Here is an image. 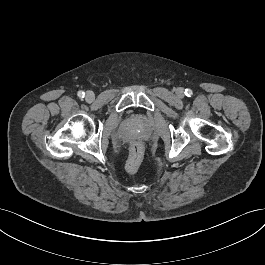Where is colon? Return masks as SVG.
I'll use <instances>...</instances> for the list:
<instances>
[{
    "instance_id": "colon-1",
    "label": "colon",
    "mask_w": 265,
    "mask_h": 265,
    "mask_svg": "<svg viewBox=\"0 0 265 265\" xmlns=\"http://www.w3.org/2000/svg\"><path fill=\"white\" fill-rule=\"evenodd\" d=\"M144 150L143 146L139 141H136L132 144L129 157L126 162V170L135 174L139 171L142 160H143Z\"/></svg>"
}]
</instances>
